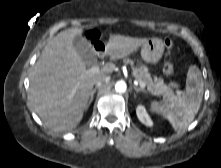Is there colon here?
<instances>
[{
	"mask_svg": "<svg viewBox=\"0 0 221 168\" xmlns=\"http://www.w3.org/2000/svg\"><path fill=\"white\" fill-rule=\"evenodd\" d=\"M172 46H173V43L171 40H169V39L165 40V47L167 50V58L168 59H167L166 64L164 66V71L167 74H170L173 71V66L169 61V55H170V51L172 49ZM180 88H181V83L179 81H172L169 85V89L173 93L178 92Z\"/></svg>",
	"mask_w": 221,
	"mask_h": 168,
	"instance_id": "colon-1",
	"label": "colon"
}]
</instances>
